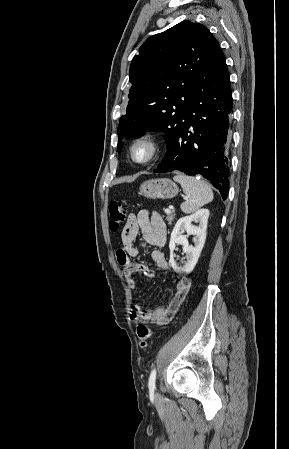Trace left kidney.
Segmentation results:
<instances>
[{
	"label": "left kidney",
	"mask_w": 289,
	"mask_h": 449,
	"mask_svg": "<svg viewBox=\"0 0 289 449\" xmlns=\"http://www.w3.org/2000/svg\"><path fill=\"white\" fill-rule=\"evenodd\" d=\"M208 209H200L192 215L180 218L173 231L169 242L170 259L169 264L177 273H191L198 262L200 253L204 247L206 240V230L209 218ZM192 222L198 224V226L192 225ZM188 235H193L194 246L189 245L187 236L183 235L184 232ZM176 244L183 246V251L186 253L187 261L183 266L176 263L174 259L173 251Z\"/></svg>",
	"instance_id": "5707ae66"
}]
</instances>
